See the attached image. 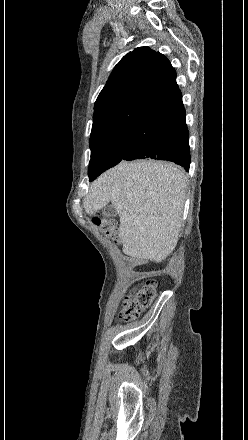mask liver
<instances>
[{"label":"liver","instance_id":"obj_1","mask_svg":"<svg viewBox=\"0 0 248 440\" xmlns=\"http://www.w3.org/2000/svg\"><path fill=\"white\" fill-rule=\"evenodd\" d=\"M186 182L173 163L122 161L93 182L84 209L94 215L111 202L120 218L124 253L161 262L178 242Z\"/></svg>","mask_w":248,"mask_h":440}]
</instances>
